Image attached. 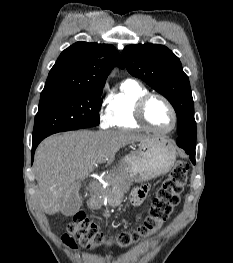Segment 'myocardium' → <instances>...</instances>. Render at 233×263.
Wrapping results in <instances>:
<instances>
[{
  "label": "myocardium",
  "mask_w": 233,
  "mask_h": 263,
  "mask_svg": "<svg viewBox=\"0 0 233 263\" xmlns=\"http://www.w3.org/2000/svg\"><path fill=\"white\" fill-rule=\"evenodd\" d=\"M155 98L162 100L166 104V106L168 107V109L170 110L172 114V125L170 126V128L166 130H161V129H157L153 127L149 123L146 117L147 105L152 99H155ZM135 119L141 126L145 127L146 129L152 132L159 133V134H168L172 132L177 125V113H176L174 106L172 105V103L169 101L168 98H166L165 96L159 93H147L146 95H144L138 100L136 107H135Z\"/></svg>",
  "instance_id": "f54148a6"
}]
</instances>
